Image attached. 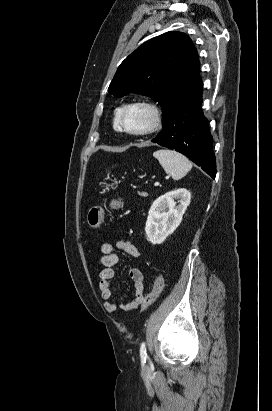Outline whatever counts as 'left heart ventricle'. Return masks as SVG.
Returning <instances> with one entry per match:
<instances>
[{
	"label": "left heart ventricle",
	"mask_w": 272,
	"mask_h": 411,
	"mask_svg": "<svg viewBox=\"0 0 272 411\" xmlns=\"http://www.w3.org/2000/svg\"><path fill=\"white\" fill-rule=\"evenodd\" d=\"M149 113L143 108H132L124 115V124L130 130H140L148 125Z\"/></svg>",
	"instance_id": "obj_1"
}]
</instances>
